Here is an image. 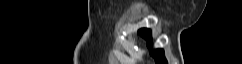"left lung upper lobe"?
Segmentation results:
<instances>
[{
  "mask_svg": "<svg viewBox=\"0 0 242 64\" xmlns=\"http://www.w3.org/2000/svg\"><path fill=\"white\" fill-rule=\"evenodd\" d=\"M138 33L141 34L147 40V45L151 47V30L142 28L138 31ZM150 54L155 58L156 64H167V60L165 59L163 49L152 50Z\"/></svg>",
  "mask_w": 242,
  "mask_h": 64,
  "instance_id": "1",
  "label": "left lung upper lobe"
}]
</instances>
